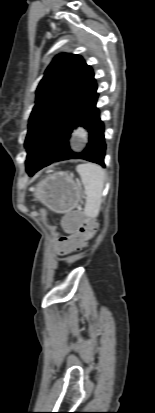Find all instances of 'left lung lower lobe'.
I'll return each instance as SVG.
<instances>
[{
    "instance_id": "1",
    "label": "left lung lower lobe",
    "mask_w": 155,
    "mask_h": 413,
    "mask_svg": "<svg viewBox=\"0 0 155 413\" xmlns=\"http://www.w3.org/2000/svg\"><path fill=\"white\" fill-rule=\"evenodd\" d=\"M97 98L98 93L95 92L80 114L76 124V128L83 127L87 132L88 143L85 150L82 153L72 152L69 148L68 141L72 132L64 131L57 137L55 141V144L59 147V150L49 160L27 172L30 176L54 161L70 158H82L100 164L103 167L105 166L104 156L106 145L104 142V126L102 121L100 120L99 111L96 107Z\"/></svg>"
}]
</instances>
